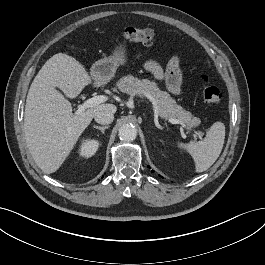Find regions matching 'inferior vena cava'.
Returning a JSON list of instances; mask_svg holds the SVG:
<instances>
[{
    "label": "inferior vena cava",
    "mask_w": 265,
    "mask_h": 265,
    "mask_svg": "<svg viewBox=\"0 0 265 265\" xmlns=\"http://www.w3.org/2000/svg\"><path fill=\"white\" fill-rule=\"evenodd\" d=\"M94 119L99 124H110L113 122L114 113L111 110H102L95 114Z\"/></svg>",
    "instance_id": "obj_1"
}]
</instances>
